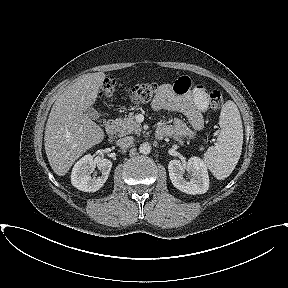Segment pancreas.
Listing matches in <instances>:
<instances>
[{"instance_id": "cf45deb5", "label": "pancreas", "mask_w": 288, "mask_h": 288, "mask_svg": "<svg viewBox=\"0 0 288 288\" xmlns=\"http://www.w3.org/2000/svg\"><path fill=\"white\" fill-rule=\"evenodd\" d=\"M114 123L116 124L118 136H125L131 133L139 134L142 131L141 125L135 121V115L133 113H130L128 117L124 119L118 118L114 120ZM176 140L182 143L181 138L176 137Z\"/></svg>"}]
</instances>
